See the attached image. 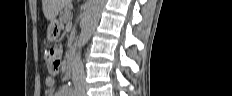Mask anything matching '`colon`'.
Segmentation results:
<instances>
[{"label": "colon", "mask_w": 232, "mask_h": 96, "mask_svg": "<svg viewBox=\"0 0 232 96\" xmlns=\"http://www.w3.org/2000/svg\"><path fill=\"white\" fill-rule=\"evenodd\" d=\"M46 59L49 62L50 69L53 72L59 71V69L61 67V59H60V55H59V50L57 48L50 49L46 53Z\"/></svg>", "instance_id": "1"}]
</instances>
